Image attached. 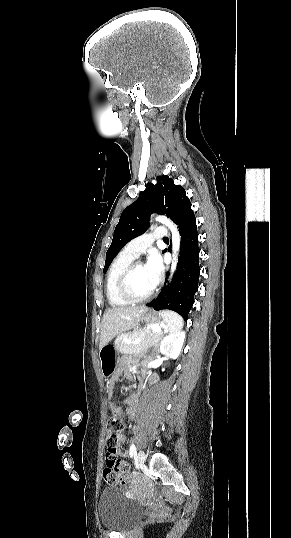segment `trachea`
<instances>
[{
    "label": "trachea",
    "mask_w": 291,
    "mask_h": 538,
    "mask_svg": "<svg viewBox=\"0 0 291 538\" xmlns=\"http://www.w3.org/2000/svg\"><path fill=\"white\" fill-rule=\"evenodd\" d=\"M163 240H164V241H167V240H168V238H167V237H166V238H163Z\"/></svg>",
    "instance_id": "3493384b"
}]
</instances>
